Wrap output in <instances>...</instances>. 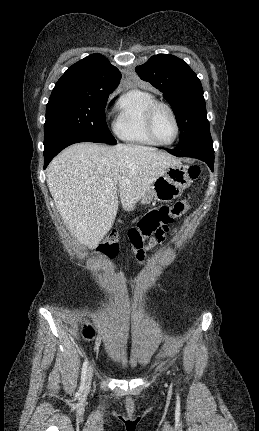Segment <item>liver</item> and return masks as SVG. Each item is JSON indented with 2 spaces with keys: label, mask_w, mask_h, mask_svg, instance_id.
<instances>
[{
  "label": "liver",
  "mask_w": 259,
  "mask_h": 431,
  "mask_svg": "<svg viewBox=\"0 0 259 431\" xmlns=\"http://www.w3.org/2000/svg\"><path fill=\"white\" fill-rule=\"evenodd\" d=\"M181 162L142 145L78 143L57 155L47 169L56 208L80 244L93 249L112 228L120 200L136 204L171 165ZM121 177V179H118Z\"/></svg>",
  "instance_id": "6515ba94"
}]
</instances>
